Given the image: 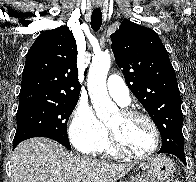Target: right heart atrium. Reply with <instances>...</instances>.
Wrapping results in <instances>:
<instances>
[{"label": "right heart atrium", "instance_id": "right-heart-atrium-1", "mask_svg": "<svg viewBox=\"0 0 196 182\" xmlns=\"http://www.w3.org/2000/svg\"><path fill=\"white\" fill-rule=\"evenodd\" d=\"M68 132L74 147L84 154L98 152L107 138L105 126L96 117L91 106L85 102L76 105Z\"/></svg>", "mask_w": 196, "mask_h": 182}]
</instances>
